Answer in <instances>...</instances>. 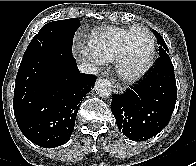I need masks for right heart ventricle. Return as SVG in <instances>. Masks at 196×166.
I'll use <instances>...</instances> for the list:
<instances>
[{
	"instance_id": "1",
	"label": "right heart ventricle",
	"mask_w": 196,
	"mask_h": 166,
	"mask_svg": "<svg viewBox=\"0 0 196 166\" xmlns=\"http://www.w3.org/2000/svg\"><path fill=\"white\" fill-rule=\"evenodd\" d=\"M133 28L107 27L96 31L88 41L90 52L100 61L116 60L124 40Z\"/></svg>"
}]
</instances>
